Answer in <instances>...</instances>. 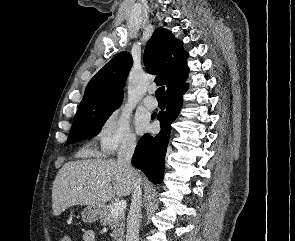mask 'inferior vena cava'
<instances>
[{
    "label": "inferior vena cava",
    "mask_w": 295,
    "mask_h": 241,
    "mask_svg": "<svg viewBox=\"0 0 295 241\" xmlns=\"http://www.w3.org/2000/svg\"><path fill=\"white\" fill-rule=\"evenodd\" d=\"M136 147V139L132 136H126L120 144L117 153L118 164L124 166L133 180L132 202L127 217L126 241H139V224L142 190L140 182L137 179L136 171L131 167V159Z\"/></svg>",
    "instance_id": "inferior-vena-cava-1"
}]
</instances>
